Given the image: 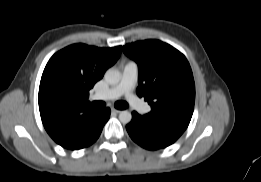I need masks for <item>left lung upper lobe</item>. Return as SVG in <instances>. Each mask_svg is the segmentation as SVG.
Instances as JSON below:
<instances>
[{
	"label": "left lung upper lobe",
	"instance_id": "left-lung-upper-lobe-1",
	"mask_svg": "<svg viewBox=\"0 0 261 182\" xmlns=\"http://www.w3.org/2000/svg\"><path fill=\"white\" fill-rule=\"evenodd\" d=\"M123 52L138 64L137 95L152 107L143 116L149 122L185 130L195 102V84L186 57L159 40L130 43Z\"/></svg>",
	"mask_w": 261,
	"mask_h": 182
}]
</instances>
